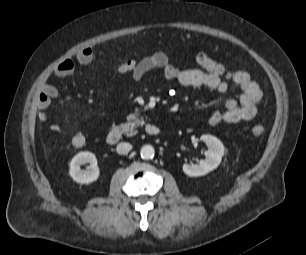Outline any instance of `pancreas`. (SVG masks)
I'll list each match as a JSON object with an SVG mask.
<instances>
[{
    "label": "pancreas",
    "instance_id": "obj_1",
    "mask_svg": "<svg viewBox=\"0 0 306 255\" xmlns=\"http://www.w3.org/2000/svg\"><path fill=\"white\" fill-rule=\"evenodd\" d=\"M127 121L134 127L144 125L145 121L138 113H131L127 116Z\"/></svg>",
    "mask_w": 306,
    "mask_h": 255
}]
</instances>
